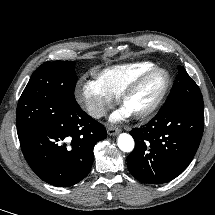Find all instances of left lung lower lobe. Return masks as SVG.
<instances>
[{
  "label": "left lung lower lobe",
  "mask_w": 215,
  "mask_h": 215,
  "mask_svg": "<svg viewBox=\"0 0 215 215\" xmlns=\"http://www.w3.org/2000/svg\"><path fill=\"white\" fill-rule=\"evenodd\" d=\"M203 128V105L166 102L146 126L130 131L136 147L127 159L129 171L143 183L171 181L194 158Z\"/></svg>",
  "instance_id": "obj_1"
}]
</instances>
